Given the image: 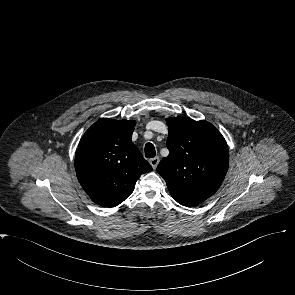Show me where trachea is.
<instances>
[{
  "mask_svg": "<svg viewBox=\"0 0 295 295\" xmlns=\"http://www.w3.org/2000/svg\"><path fill=\"white\" fill-rule=\"evenodd\" d=\"M156 155L155 147L152 143L145 145V156L146 158H153Z\"/></svg>",
  "mask_w": 295,
  "mask_h": 295,
  "instance_id": "trachea-1",
  "label": "trachea"
}]
</instances>
